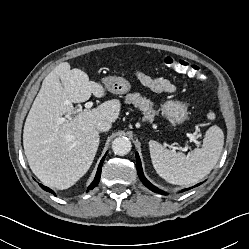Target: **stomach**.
Wrapping results in <instances>:
<instances>
[{"mask_svg": "<svg viewBox=\"0 0 249 249\" xmlns=\"http://www.w3.org/2000/svg\"><path fill=\"white\" fill-rule=\"evenodd\" d=\"M106 90L115 94H125L130 91L129 81L122 77L109 76L103 79ZM164 116L172 119L175 123H183L187 118V107L184 103L176 100L166 101L161 109Z\"/></svg>", "mask_w": 249, "mask_h": 249, "instance_id": "stomach-1", "label": "stomach"}]
</instances>
